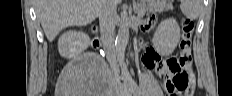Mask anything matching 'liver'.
Instances as JSON below:
<instances>
[{"instance_id": "1", "label": "liver", "mask_w": 232, "mask_h": 96, "mask_svg": "<svg viewBox=\"0 0 232 96\" xmlns=\"http://www.w3.org/2000/svg\"><path fill=\"white\" fill-rule=\"evenodd\" d=\"M35 11L49 41L69 26H85L99 13L101 0H35Z\"/></svg>"}]
</instances>
